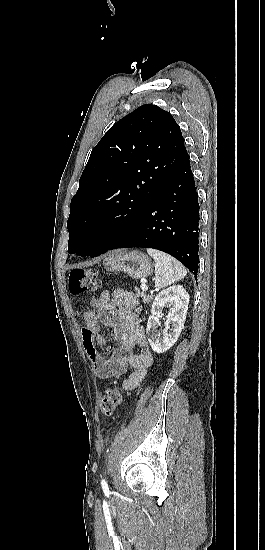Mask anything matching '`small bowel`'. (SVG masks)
Listing matches in <instances>:
<instances>
[{
  "label": "small bowel",
  "mask_w": 265,
  "mask_h": 550,
  "mask_svg": "<svg viewBox=\"0 0 265 550\" xmlns=\"http://www.w3.org/2000/svg\"><path fill=\"white\" fill-rule=\"evenodd\" d=\"M137 307V299L132 293L117 289L92 299L90 308L83 314L86 326L82 331V340L94 374L101 379L118 377L130 366L133 371L122 381V389L125 391L135 389L153 363ZM101 323L108 326L114 341L118 343L108 356L101 355L97 349V346L107 343L100 329ZM136 346L141 350L134 353Z\"/></svg>",
  "instance_id": "1"
}]
</instances>
